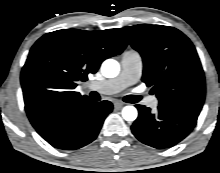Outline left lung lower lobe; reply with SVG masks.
<instances>
[{"instance_id":"0a47b994","label":"left lung lower lobe","mask_w":220,"mask_h":173,"mask_svg":"<svg viewBox=\"0 0 220 173\" xmlns=\"http://www.w3.org/2000/svg\"><path fill=\"white\" fill-rule=\"evenodd\" d=\"M136 107L139 117L131 127L133 134L142 143L159 149L180 142L197 122L198 116L174 108L158 106V112L152 114L144 105Z\"/></svg>"}]
</instances>
